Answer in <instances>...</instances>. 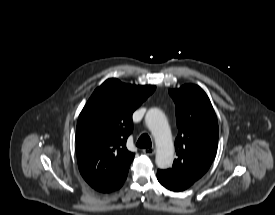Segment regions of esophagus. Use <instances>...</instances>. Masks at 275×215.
Returning a JSON list of instances; mask_svg holds the SVG:
<instances>
[{
	"instance_id": "34e87169",
	"label": "esophagus",
	"mask_w": 275,
	"mask_h": 215,
	"mask_svg": "<svg viewBox=\"0 0 275 215\" xmlns=\"http://www.w3.org/2000/svg\"><path fill=\"white\" fill-rule=\"evenodd\" d=\"M143 153L145 155L151 156L155 154V149L154 148H145L143 149Z\"/></svg>"
}]
</instances>
